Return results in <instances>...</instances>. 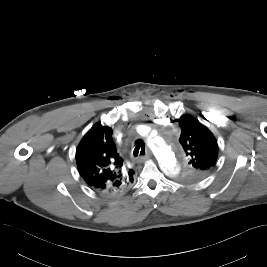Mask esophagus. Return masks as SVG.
Wrapping results in <instances>:
<instances>
[{
    "mask_svg": "<svg viewBox=\"0 0 267 267\" xmlns=\"http://www.w3.org/2000/svg\"><path fill=\"white\" fill-rule=\"evenodd\" d=\"M147 159H149V156H148V155H144V156H141V157L139 158L140 161H145V160H147Z\"/></svg>",
    "mask_w": 267,
    "mask_h": 267,
    "instance_id": "esophagus-1",
    "label": "esophagus"
}]
</instances>
